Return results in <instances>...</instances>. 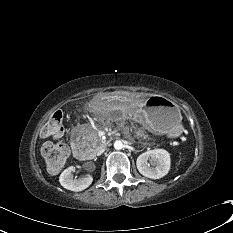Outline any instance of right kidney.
Returning a JSON list of instances; mask_svg holds the SVG:
<instances>
[{"mask_svg": "<svg viewBox=\"0 0 233 233\" xmlns=\"http://www.w3.org/2000/svg\"><path fill=\"white\" fill-rule=\"evenodd\" d=\"M75 170V167L70 166L67 169H65L60 177H59V182L60 184L71 191L79 192L87 187H89L93 181L92 176L88 175L85 177H81L78 179H73V174L72 172Z\"/></svg>", "mask_w": 233, "mask_h": 233, "instance_id": "1", "label": "right kidney"}]
</instances>
